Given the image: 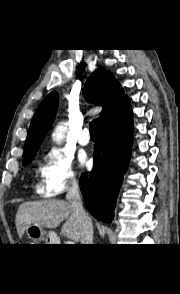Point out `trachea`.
Masks as SVG:
<instances>
[{
    "instance_id": "obj_1",
    "label": "trachea",
    "mask_w": 180,
    "mask_h": 294,
    "mask_svg": "<svg viewBox=\"0 0 180 294\" xmlns=\"http://www.w3.org/2000/svg\"><path fill=\"white\" fill-rule=\"evenodd\" d=\"M98 126H99V119H94L89 124V131L91 136L98 135Z\"/></svg>"
}]
</instances>
